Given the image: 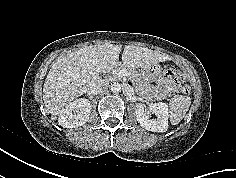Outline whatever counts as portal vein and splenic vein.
Returning a JSON list of instances; mask_svg holds the SVG:
<instances>
[{
    "label": "portal vein and splenic vein",
    "instance_id": "1",
    "mask_svg": "<svg viewBox=\"0 0 236 178\" xmlns=\"http://www.w3.org/2000/svg\"><path fill=\"white\" fill-rule=\"evenodd\" d=\"M118 77L122 78L124 76H128V73L125 70H121L118 72Z\"/></svg>",
    "mask_w": 236,
    "mask_h": 178
}]
</instances>
